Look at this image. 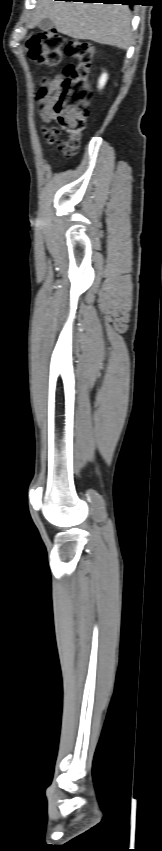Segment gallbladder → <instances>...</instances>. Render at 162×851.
Wrapping results in <instances>:
<instances>
[{
    "label": "gallbladder",
    "instance_id": "1",
    "mask_svg": "<svg viewBox=\"0 0 162 851\" xmlns=\"http://www.w3.org/2000/svg\"><path fill=\"white\" fill-rule=\"evenodd\" d=\"M53 26H54L53 21L49 18L42 19L38 23V27L43 31H48V30L52 29Z\"/></svg>",
    "mask_w": 162,
    "mask_h": 851
}]
</instances>
